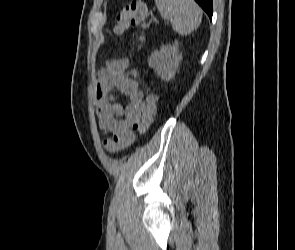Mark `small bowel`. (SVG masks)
I'll return each mask as SVG.
<instances>
[{
    "mask_svg": "<svg viewBox=\"0 0 295 250\" xmlns=\"http://www.w3.org/2000/svg\"><path fill=\"white\" fill-rule=\"evenodd\" d=\"M127 58L111 59L100 70L96 87V114L99 129L103 134H112L111 139L122 143L127 148L135 141L138 123L146 110L144 93L137 81L128 77ZM115 90H119L128 98V104L123 107L116 99Z\"/></svg>",
    "mask_w": 295,
    "mask_h": 250,
    "instance_id": "1",
    "label": "small bowel"
}]
</instances>
